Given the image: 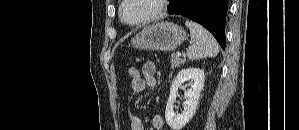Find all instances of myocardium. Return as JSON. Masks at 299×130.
<instances>
[{"instance_id":"f54148a6","label":"myocardium","mask_w":299,"mask_h":130,"mask_svg":"<svg viewBox=\"0 0 299 130\" xmlns=\"http://www.w3.org/2000/svg\"><path fill=\"white\" fill-rule=\"evenodd\" d=\"M136 1H146V0H124L121 2L120 6H119V19L124 25L130 26V27H137V26H142V25H145V24H148V23L158 20L166 12L168 2H169L167 0H150L153 2V4L156 7L155 11L144 18H141V19L133 21V22H128L124 19V15H123L124 9L127 5H129L133 2H136Z\"/></svg>"}]
</instances>
